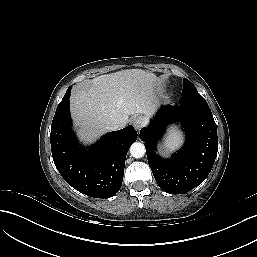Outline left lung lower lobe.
<instances>
[{
	"instance_id": "0a47b994",
	"label": "left lung lower lobe",
	"mask_w": 257,
	"mask_h": 257,
	"mask_svg": "<svg viewBox=\"0 0 257 257\" xmlns=\"http://www.w3.org/2000/svg\"><path fill=\"white\" fill-rule=\"evenodd\" d=\"M180 122L185 145L170 159L158 156L156 146L169 123ZM149 166L160 188L183 194L201 184L210 173L218 151L217 126L206 103L181 102L162 106L147 128L140 131Z\"/></svg>"
}]
</instances>
